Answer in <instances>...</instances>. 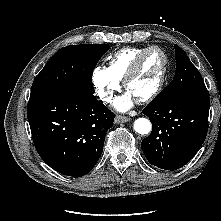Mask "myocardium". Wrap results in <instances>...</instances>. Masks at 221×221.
Here are the masks:
<instances>
[{
	"mask_svg": "<svg viewBox=\"0 0 221 221\" xmlns=\"http://www.w3.org/2000/svg\"><path fill=\"white\" fill-rule=\"evenodd\" d=\"M151 51H158L162 55L163 65H162V69H161L160 76H159L156 86L148 94H146L140 98H137L136 101L139 103L148 102V101L152 100L153 98H155L163 89V86L165 84L166 77H167L168 57H167L166 53L164 52L163 49H161L158 46H150V47H147L146 49H144L132 62L129 70L127 71L125 77L123 78L124 88L127 90L129 83L135 77V75L139 72L145 57Z\"/></svg>",
	"mask_w": 221,
	"mask_h": 221,
	"instance_id": "myocardium-1",
	"label": "myocardium"
}]
</instances>
